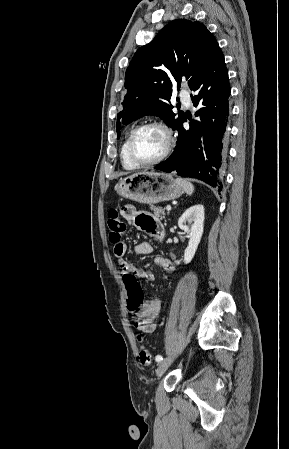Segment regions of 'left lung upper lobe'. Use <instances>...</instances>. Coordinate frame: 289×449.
<instances>
[{
  "label": "left lung upper lobe",
  "instance_id": "left-lung-upper-lobe-1",
  "mask_svg": "<svg viewBox=\"0 0 289 449\" xmlns=\"http://www.w3.org/2000/svg\"><path fill=\"white\" fill-rule=\"evenodd\" d=\"M217 48V40L203 24L185 19L172 21L139 48L126 70L127 94L117 116V134L121 123L128 124L150 112L174 130L184 114L177 116L172 111L173 83L179 88L181 79L186 78L190 87Z\"/></svg>",
  "mask_w": 289,
  "mask_h": 449
}]
</instances>
